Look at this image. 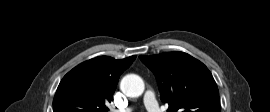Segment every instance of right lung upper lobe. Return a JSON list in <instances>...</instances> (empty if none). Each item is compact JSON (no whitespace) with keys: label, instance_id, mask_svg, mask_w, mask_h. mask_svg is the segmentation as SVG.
Listing matches in <instances>:
<instances>
[{"label":"right lung upper lobe","instance_id":"obj_1","mask_svg":"<svg viewBox=\"0 0 270 112\" xmlns=\"http://www.w3.org/2000/svg\"><path fill=\"white\" fill-rule=\"evenodd\" d=\"M135 58L100 56L79 64L60 82L53 112H107L106 104L112 101L119 76Z\"/></svg>","mask_w":270,"mask_h":112}]
</instances>
